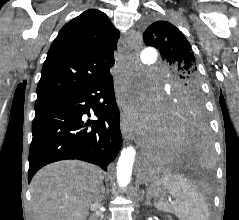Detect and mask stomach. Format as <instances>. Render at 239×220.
I'll return each instance as SVG.
<instances>
[{
    "label": "stomach",
    "instance_id": "obj_1",
    "mask_svg": "<svg viewBox=\"0 0 239 220\" xmlns=\"http://www.w3.org/2000/svg\"><path fill=\"white\" fill-rule=\"evenodd\" d=\"M167 192L168 188L165 185H156L155 183H151L148 186V194L154 197L164 196Z\"/></svg>",
    "mask_w": 239,
    "mask_h": 220
}]
</instances>
